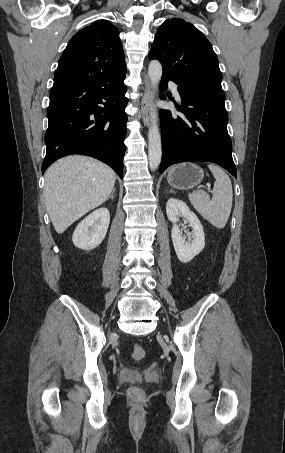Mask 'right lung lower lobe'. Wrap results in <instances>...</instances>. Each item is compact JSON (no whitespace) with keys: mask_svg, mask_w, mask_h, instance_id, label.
I'll use <instances>...</instances> for the list:
<instances>
[{"mask_svg":"<svg viewBox=\"0 0 285 453\" xmlns=\"http://www.w3.org/2000/svg\"><path fill=\"white\" fill-rule=\"evenodd\" d=\"M125 74L54 79L42 173L63 156L82 154L108 164L123 177L128 102Z\"/></svg>","mask_w":285,"mask_h":453,"instance_id":"1","label":"right lung lower lobe"}]
</instances>
